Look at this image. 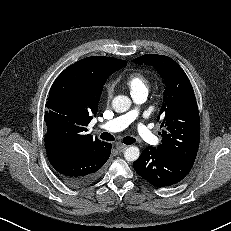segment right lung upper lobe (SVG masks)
Here are the masks:
<instances>
[{
  "mask_svg": "<svg viewBox=\"0 0 231 231\" xmlns=\"http://www.w3.org/2000/svg\"><path fill=\"white\" fill-rule=\"evenodd\" d=\"M123 61L111 57H87L68 68L75 69L88 88L80 101L54 104L45 115V142H50L70 153L87 154L102 150L106 142L86 134L87 125L97 114L103 85L118 64Z\"/></svg>",
  "mask_w": 231,
  "mask_h": 231,
  "instance_id": "obj_1",
  "label": "right lung upper lobe"
}]
</instances>
